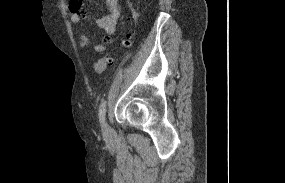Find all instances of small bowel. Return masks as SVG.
Returning a JSON list of instances; mask_svg holds the SVG:
<instances>
[{
	"instance_id": "c3829d8e",
	"label": "small bowel",
	"mask_w": 285,
	"mask_h": 183,
	"mask_svg": "<svg viewBox=\"0 0 285 183\" xmlns=\"http://www.w3.org/2000/svg\"><path fill=\"white\" fill-rule=\"evenodd\" d=\"M106 3L109 8L108 14L96 20L97 27L103 29L105 34L102 36L100 42H92L90 33H80L77 31L76 34L80 41L79 45L82 49L91 46L96 52H104L106 50V46L112 43L113 36L117 31V24L121 14L120 1L106 0ZM73 6L79 9V12H72L71 7ZM69 8L71 11V22L79 25L81 28H84V19L86 16L82 11V0H74V2H71L70 0Z\"/></svg>"
}]
</instances>
